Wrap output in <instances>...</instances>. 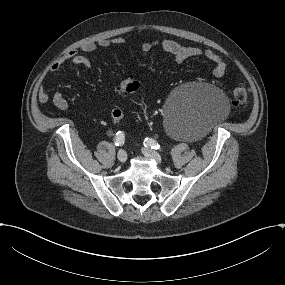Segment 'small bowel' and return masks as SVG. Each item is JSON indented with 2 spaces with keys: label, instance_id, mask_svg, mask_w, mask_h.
<instances>
[{
  "label": "small bowel",
  "instance_id": "1",
  "mask_svg": "<svg viewBox=\"0 0 285 285\" xmlns=\"http://www.w3.org/2000/svg\"><path fill=\"white\" fill-rule=\"evenodd\" d=\"M124 45H126V41L122 37L103 38L96 42H89L82 45L81 50L85 53H92L99 48H109L111 46ZM156 47H160L163 51L172 55L176 62H183L186 59L194 57H205L213 63L214 66L212 69V74L217 78L222 77L226 72L227 65L224 59L212 49H202L197 46H183L176 41L164 39L143 42L141 44V51L144 55H148ZM66 62L82 65L88 69L92 67V63L88 57L81 54L77 49H72L53 62L49 66V71H57L61 65ZM38 99L42 103H46L51 99L55 107L62 111L67 110L69 106L67 100L64 98L60 90H57L52 96H50L43 89V87H40L38 90Z\"/></svg>",
  "mask_w": 285,
  "mask_h": 285
}]
</instances>
